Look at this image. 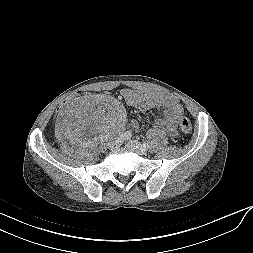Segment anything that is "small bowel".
Masks as SVG:
<instances>
[{
  "label": "small bowel",
  "instance_id": "small-bowel-1",
  "mask_svg": "<svg viewBox=\"0 0 253 253\" xmlns=\"http://www.w3.org/2000/svg\"><path fill=\"white\" fill-rule=\"evenodd\" d=\"M121 95L127 105L142 112L151 109H162L164 115L156 120L157 127L165 129L170 137L177 136V123L184 114L183 106L178 100L131 89H124ZM131 124L134 128L138 127L136 121H132Z\"/></svg>",
  "mask_w": 253,
  "mask_h": 253
}]
</instances>
